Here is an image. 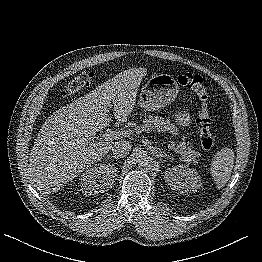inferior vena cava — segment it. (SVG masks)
<instances>
[{"label": "inferior vena cava", "instance_id": "inferior-vena-cava-1", "mask_svg": "<svg viewBox=\"0 0 262 262\" xmlns=\"http://www.w3.org/2000/svg\"><path fill=\"white\" fill-rule=\"evenodd\" d=\"M131 143L126 140L115 142L112 146V153L118 158H123L131 151Z\"/></svg>", "mask_w": 262, "mask_h": 262}]
</instances>
